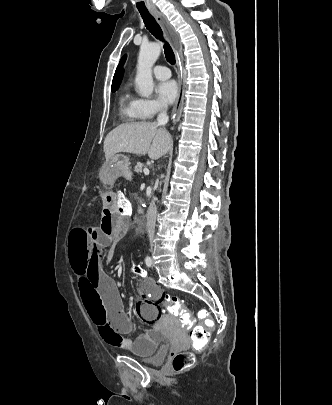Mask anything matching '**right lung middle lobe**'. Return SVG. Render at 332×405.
I'll return each instance as SVG.
<instances>
[{"label": "right lung middle lobe", "mask_w": 332, "mask_h": 405, "mask_svg": "<svg viewBox=\"0 0 332 405\" xmlns=\"http://www.w3.org/2000/svg\"><path fill=\"white\" fill-rule=\"evenodd\" d=\"M119 85L113 86L112 87V92H115L118 89Z\"/></svg>", "instance_id": "right-lung-middle-lobe-1"}]
</instances>
